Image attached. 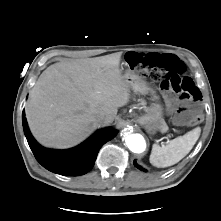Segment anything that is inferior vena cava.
I'll return each instance as SVG.
<instances>
[{"instance_id":"obj_1","label":"inferior vena cava","mask_w":221,"mask_h":221,"mask_svg":"<svg viewBox=\"0 0 221 221\" xmlns=\"http://www.w3.org/2000/svg\"><path fill=\"white\" fill-rule=\"evenodd\" d=\"M105 116L104 114L100 113L96 116V119L98 122H102L104 120Z\"/></svg>"}]
</instances>
